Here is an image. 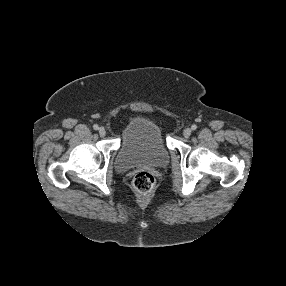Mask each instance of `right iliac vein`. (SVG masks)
I'll return each instance as SVG.
<instances>
[{
    "label": "right iliac vein",
    "instance_id": "right-iliac-vein-1",
    "mask_svg": "<svg viewBox=\"0 0 286 286\" xmlns=\"http://www.w3.org/2000/svg\"><path fill=\"white\" fill-rule=\"evenodd\" d=\"M98 133H99V135H100L101 137H104V136L106 135V130H105V128H104V127H100V128L98 129Z\"/></svg>",
    "mask_w": 286,
    "mask_h": 286
}]
</instances>
